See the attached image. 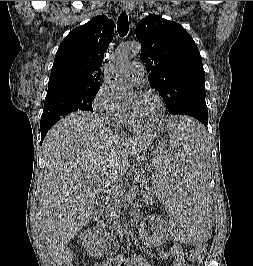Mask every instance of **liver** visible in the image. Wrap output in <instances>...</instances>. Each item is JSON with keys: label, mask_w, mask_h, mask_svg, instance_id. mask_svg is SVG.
Segmentation results:
<instances>
[{"label": "liver", "mask_w": 253, "mask_h": 266, "mask_svg": "<svg viewBox=\"0 0 253 266\" xmlns=\"http://www.w3.org/2000/svg\"><path fill=\"white\" fill-rule=\"evenodd\" d=\"M124 138L104 127L91 113L77 111L62 118L43 142L45 173L41 185L38 221L46 247L60 264L63 252L94 215L97 204L92 178L118 182L130 157L150 140Z\"/></svg>", "instance_id": "obj_1"}]
</instances>
